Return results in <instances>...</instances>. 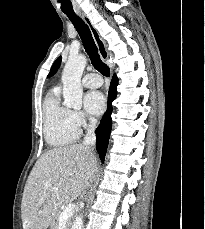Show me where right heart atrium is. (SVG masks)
<instances>
[{
	"label": "right heart atrium",
	"instance_id": "right-heart-atrium-1",
	"mask_svg": "<svg viewBox=\"0 0 205 229\" xmlns=\"http://www.w3.org/2000/svg\"><path fill=\"white\" fill-rule=\"evenodd\" d=\"M71 119L75 127L80 131L92 124V119L82 111H71Z\"/></svg>",
	"mask_w": 205,
	"mask_h": 229
}]
</instances>
